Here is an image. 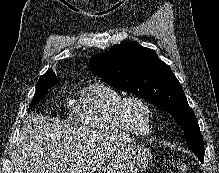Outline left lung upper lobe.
I'll list each match as a JSON object with an SVG mask.
<instances>
[{
	"mask_svg": "<svg viewBox=\"0 0 219 173\" xmlns=\"http://www.w3.org/2000/svg\"><path fill=\"white\" fill-rule=\"evenodd\" d=\"M90 68L110 86L140 96L172 114L184 131L189 148L204 157V143L196 116L172 70L155 51L138 42L113 46L94 55Z\"/></svg>",
	"mask_w": 219,
	"mask_h": 173,
	"instance_id": "5c2ea615",
	"label": "left lung upper lobe"
}]
</instances>
